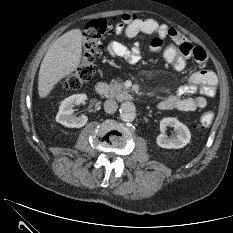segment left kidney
I'll list each match as a JSON object with an SVG mask.
<instances>
[{
    "mask_svg": "<svg viewBox=\"0 0 233 233\" xmlns=\"http://www.w3.org/2000/svg\"><path fill=\"white\" fill-rule=\"evenodd\" d=\"M167 127H173L176 136L173 138H167V135H165V131ZM160 130L161 134L158 135L156 139V143L161 148L165 149H179L185 147L187 144L190 143L191 140V134L186 125L178 121L176 118H163L160 121Z\"/></svg>",
    "mask_w": 233,
    "mask_h": 233,
    "instance_id": "left-kidney-1",
    "label": "left kidney"
}]
</instances>
